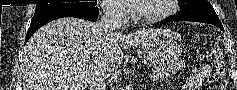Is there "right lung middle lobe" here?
<instances>
[{"label": "right lung middle lobe", "instance_id": "obj_1", "mask_svg": "<svg viewBox=\"0 0 237 90\" xmlns=\"http://www.w3.org/2000/svg\"><path fill=\"white\" fill-rule=\"evenodd\" d=\"M96 4H97V2L37 4L34 16L42 15V14L49 13V12H53V11H56V10L62 9V8H70V7H89V8H93V7L96 6Z\"/></svg>", "mask_w": 237, "mask_h": 90}]
</instances>
